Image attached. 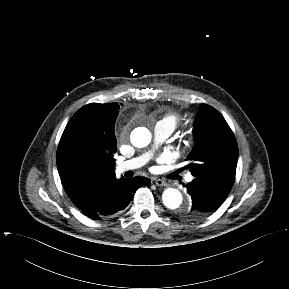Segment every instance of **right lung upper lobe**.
Returning a JSON list of instances; mask_svg holds the SVG:
<instances>
[{
	"instance_id": "right-lung-upper-lobe-1",
	"label": "right lung upper lobe",
	"mask_w": 289,
	"mask_h": 289,
	"mask_svg": "<svg viewBox=\"0 0 289 289\" xmlns=\"http://www.w3.org/2000/svg\"><path fill=\"white\" fill-rule=\"evenodd\" d=\"M56 161L66 193L80 210L92 208L97 192L116 181L113 154L94 159L75 156L66 148L63 135Z\"/></svg>"
}]
</instances>
